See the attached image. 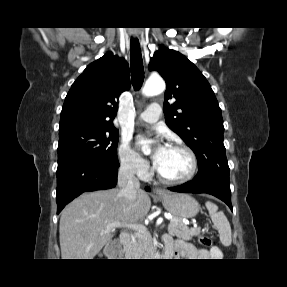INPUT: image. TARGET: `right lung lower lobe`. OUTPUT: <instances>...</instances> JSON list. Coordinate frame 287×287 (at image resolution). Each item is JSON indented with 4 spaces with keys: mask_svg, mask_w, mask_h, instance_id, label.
I'll list each match as a JSON object with an SVG mask.
<instances>
[{
    "mask_svg": "<svg viewBox=\"0 0 287 287\" xmlns=\"http://www.w3.org/2000/svg\"><path fill=\"white\" fill-rule=\"evenodd\" d=\"M118 167L87 161H75L57 168V213L83 192L112 188ZM146 190L150 189L146 187Z\"/></svg>",
    "mask_w": 287,
    "mask_h": 287,
    "instance_id": "1",
    "label": "right lung lower lobe"
}]
</instances>
